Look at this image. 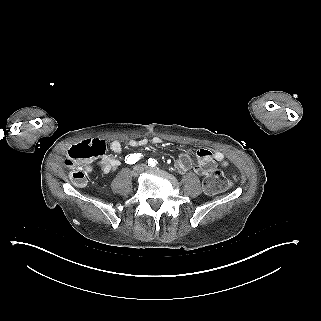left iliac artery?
<instances>
[{"label": "left iliac artery", "instance_id": "obj_1", "mask_svg": "<svg viewBox=\"0 0 321 321\" xmlns=\"http://www.w3.org/2000/svg\"><path fill=\"white\" fill-rule=\"evenodd\" d=\"M156 164H157V161L155 160V159H148V166H152V167H154V166H156Z\"/></svg>", "mask_w": 321, "mask_h": 321}]
</instances>
